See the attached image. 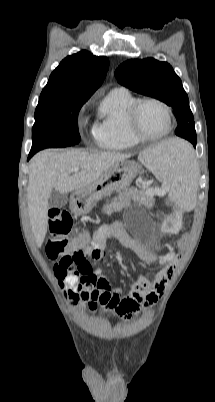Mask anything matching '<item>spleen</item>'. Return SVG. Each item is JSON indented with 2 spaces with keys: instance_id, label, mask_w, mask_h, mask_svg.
I'll return each instance as SVG.
<instances>
[{
  "instance_id": "obj_1",
  "label": "spleen",
  "mask_w": 215,
  "mask_h": 402,
  "mask_svg": "<svg viewBox=\"0 0 215 402\" xmlns=\"http://www.w3.org/2000/svg\"><path fill=\"white\" fill-rule=\"evenodd\" d=\"M156 178L170 186L173 208L191 210L198 192L199 169L191 156L190 143L181 139H169L154 146L138 157Z\"/></svg>"
}]
</instances>
